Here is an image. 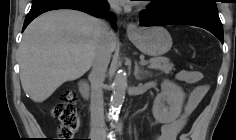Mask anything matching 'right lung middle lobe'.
<instances>
[{"mask_svg":"<svg viewBox=\"0 0 236 140\" xmlns=\"http://www.w3.org/2000/svg\"><path fill=\"white\" fill-rule=\"evenodd\" d=\"M33 2L38 1V0H32ZM90 2H92L93 4H101L102 0H89Z\"/></svg>","mask_w":236,"mask_h":140,"instance_id":"1","label":"right lung middle lobe"}]
</instances>
